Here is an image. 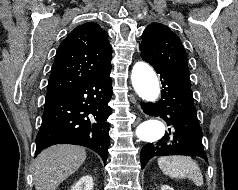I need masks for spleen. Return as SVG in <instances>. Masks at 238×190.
<instances>
[{
  "label": "spleen",
  "instance_id": "1",
  "mask_svg": "<svg viewBox=\"0 0 238 190\" xmlns=\"http://www.w3.org/2000/svg\"><path fill=\"white\" fill-rule=\"evenodd\" d=\"M161 171L172 178H189L196 186L203 185L198 164L189 156H165L158 159Z\"/></svg>",
  "mask_w": 238,
  "mask_h": 190
}]
</instances>
